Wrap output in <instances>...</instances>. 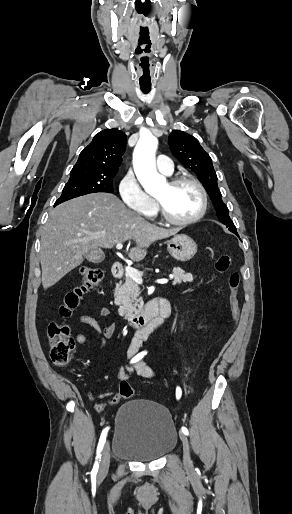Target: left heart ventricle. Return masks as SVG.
<instances>
[{
  "label": "left heart ventricle",
  "instance_id": "1",
  "mask_svg": "<svg viewBox=\"0 0 292 514\" xmlns=\"http://www.w3.org/2000/svg\"><path fill=\"white\" fill-rule=\"evenodd\" d=\"M153 197L162 204L172 218L178 220L192 217L200 205L197 190L188 184L173 188L166 184Z\"/></svg>",
  "mask_w": 292,
  "mask_h": 514
}]
</instances>
